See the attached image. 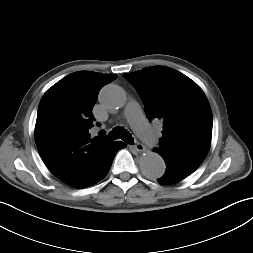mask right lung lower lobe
<instances>
[{
    "mask_svg": "<svg viewBox=\"0 0 253 253\" xmlns=\"http://www.w3.org/2000/svg\"><path fill=\"white\" fill-rule=\"evenodd\" d=\"M125 147H126V144L120 141H114V142L109 143L107 148L104 150V153L102 156L103 169H102L101 175L95 183H97L98 181H100L102 178H104L107 175L116 153L120 149L125 148Z\"/></svg>",
    "mask_w": 253,
    "mask_h": 253,
    "instance_id": "right-lung-lower-lobe-1",
    "label": "right lung lower lobe"
}]
</instances>
